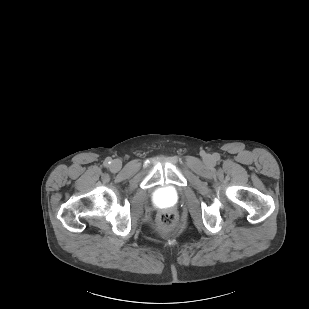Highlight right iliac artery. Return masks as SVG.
Masks as SVG:
<instances>
[{"label": "right iliac artery", "mask_w": 309, "mask_h": 309, "mask_svg": "<svg viewBox=\"0 0 309 309\" xmlns=\"http://www.w3.org/2000/svg\"><path fill=\"white\" fill-rule=\"evenodd\" d=\"M111 163L110 159L105 160V165L108 166Z\"/></svg>", "instance_id": "right-iliac-artery-1"}]
</instances>
